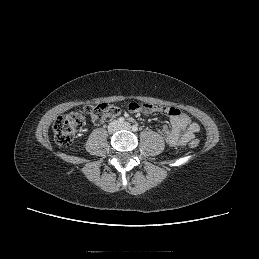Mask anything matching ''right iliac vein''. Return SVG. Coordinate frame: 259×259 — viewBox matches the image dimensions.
Here are the masks:
<instances>
[{
  "instance_id": "right-iliac-vein-1",
  "label": "right iliac vein",
  "mask_w": 259,
  "mask_h": 259,
  "mask_svg": "<svg viewBox=\"0 0 259 259\" xmlns=\"http://www.w3.org/2000/svg\"><path fill=\"white\" fill-rule=\"evenodd\" d=\"M119 128V123L114 121L110 124V130L116 131Z\"/></svg>"
}]
</instances>
